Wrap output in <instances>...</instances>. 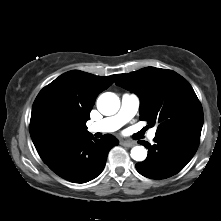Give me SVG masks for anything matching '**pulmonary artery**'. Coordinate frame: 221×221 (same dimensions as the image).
<instances>
[{"instance_id": "obj_1", "label": "pulmonary artery", "mask_w": 221, "mask_h": 221, "mask_svg": "<svg viewBox=\"0 0 221 221\" xmlns=\"http://www.w3.org/2000/svg\"><path fill=\"white\" fill-rule=\"evenodd\" d=\"M139 98L135 94H124L121 98L119 111L110 117L99 120L89 126L91 132H114L130 121L138 111ZM156 136V130L148 133V138L153 140Z\"/></svg>"}]
</instances>
